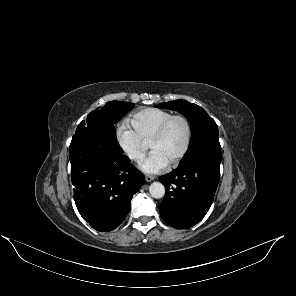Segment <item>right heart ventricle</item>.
<instances>
[{"instance_id":"1","label":"right heart ventricle","mask_w":296,"mask_h":296,"mask_svg":"<svg viewBox=\"0 0 296 296\" xmlns=\"http://www.w3.org/2000/svg\"><path fill=\"white\" fill-rule=\"evenodd\" d=\"M173 114L158 108H145L136 112L131 118L134 130L142 140L150 144L162 124Z\"/></svg>"}]
</instances>
